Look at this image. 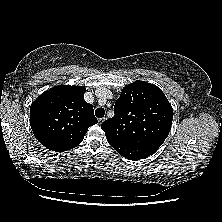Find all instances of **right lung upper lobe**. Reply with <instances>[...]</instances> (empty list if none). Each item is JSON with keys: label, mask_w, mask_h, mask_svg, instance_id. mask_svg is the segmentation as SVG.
I'll return each instance as SVG.
<instances>
[{"label": "right lung upper lobe", "mask_w": 222, "mask_h": 222, "mask_svg": "<svg viewBox=\"0 0 222 222\" xmlns=\"http://www.w3.org/2000/svg\"><path fill=\"white\" fill-rule=\"evenodd\" d=\"M84 86L59 85L43 92L30 107V125L47 149L64 152L78 146L98 122L84 100Z\"/></svg>", "instance_id": "right-lung-upper-lobe-1"}]
</instances>
